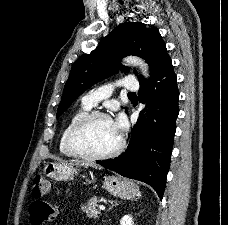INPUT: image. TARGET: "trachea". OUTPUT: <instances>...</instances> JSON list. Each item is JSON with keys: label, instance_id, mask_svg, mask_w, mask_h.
Returning <instances> with one entry per match:
<instances>
[{"label": "trachea", "instance_id": "obj_1", "mask_svg": "<svg viewBox=\"0 0 228 225\" xmlns=\"http://www.w3.org/2000/svg\"><path fill=\"white\" fill-rule=\"evenodd\" d=\"M129 97L136 96L134 92H129L128 94Z\"/></svg>", "mask_w": 228, "mask_h": 225}]
</instances>
